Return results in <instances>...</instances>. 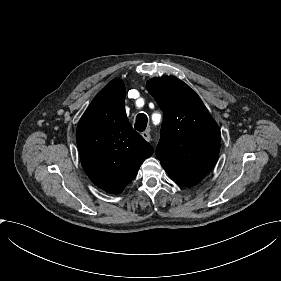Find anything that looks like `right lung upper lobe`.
Segmentation results:
<instances>
[{"mask_svg": "<svg viewBox=\"0 0 281 281\" xmlns=\"http://www.w3.org/2000/svg\"><path fill=\"white\" fill-rule=\"evenodd\" d=\"M76 141L90 180L112 194L121 193L153 153L127 119L125 86L118 78L93 99L79 121Z\"/></svg>", "mask_w": 281, "mask_h": 281, "instance_id": "right-lung-upper-lobe-1", "label": "right lung upper lobe"}]
</instances>
